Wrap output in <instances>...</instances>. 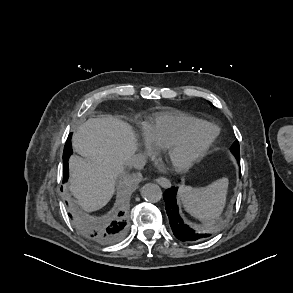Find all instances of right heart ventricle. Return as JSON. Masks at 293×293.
Instances as JSON below:
<instances>
[{
  "instance_id": "obj_1",
  "label": "right heart ventricle",
  "mask_w": 293,
  "mask_h": 293,
  "mask_svg": "<svg viewBox=\"0 0 293 293\" xmlns=\"http://www.w3.org/2000/svg\"><path fill=\"white\" fill-rule=\"evenodd\" d=\"M200 121L190 114L172 110L156 114L144 127V136L154 149H164L177 141L184 130Z\"/></svg>"
}]
</instances>
